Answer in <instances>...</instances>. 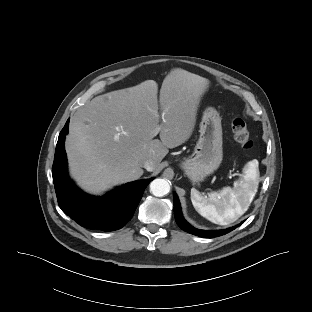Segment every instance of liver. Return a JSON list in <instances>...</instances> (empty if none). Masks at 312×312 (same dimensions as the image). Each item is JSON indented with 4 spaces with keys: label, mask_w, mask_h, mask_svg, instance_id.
I'll use <instances>...</instances> for the list:
<instances>
[{
    "label": "liver",
    "mask_w": 312,
    "mask_h": 312,
    "mask_svg": "<svg viewBox=\"0 0 312 312\" xmlns=\"http://www.w3.org/2000/svg\"><path fill=\"white\" fill-rule=\"evenodd\" d=\"M209 85L206 78L173 69L160 89L161 115L154 80L93 98L69 125L65 147L74 179L85 191L100 194L140 178L143 160H153L157 168L168 149L192 135ZM156 127L160 140L152 137Z\"/></svg>",
    "instance_id": "obj_1"
}]
</instances>
